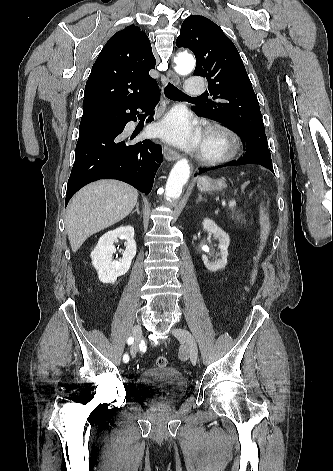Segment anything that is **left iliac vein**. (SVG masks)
Listing matches in <instances>:
<instances>
[{"mask_svg": "<svg viewBox=\"0 0 333 471\" xmlns=\"http://www.w3.org/2000/svg\"><path fill=\"white\" fill-rule=\"evenodd\" d=\"M171 332L185 345V349L189 354L190 361L193 365H195L198 357V347L193 335L188 330L183 328H173Z\"/></svg>", "mask_w": 333, "mask_h": 471, "instance_id": "4c4485c4", "label": "left iliac vein"}]
</instances>
